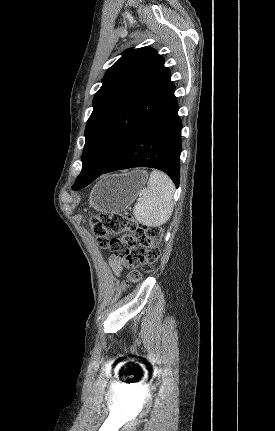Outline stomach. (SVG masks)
Wrapping results in <instances>:
<instances>
[{
	"instance_id": "obj_1",
	"label": "stomach",
	"mask_w": 275,
	"mask_h": 431,
	"mask_svg": "<svg viewBox=\"0 0 275 431\" xmlns=\"http://www.w3.org/2000/svg\"><path fill=\"white\" fill-rule=\"evenodd\" d=\"M148 174L136 170L104 177L93 189L89 204L104 213H118L128 208L146 185Z\"/></svg>"
}]
</instances>
